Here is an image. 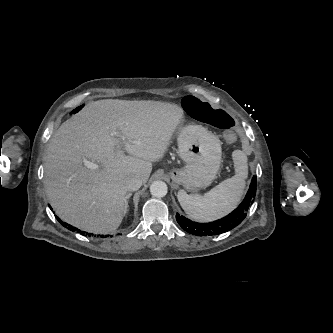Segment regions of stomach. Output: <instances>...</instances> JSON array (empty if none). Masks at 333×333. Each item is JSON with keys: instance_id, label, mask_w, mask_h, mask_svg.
Segmentation results:
<instances>
[{"instance_id": "1", "label": "stomach", "mask_w": 333, "mask_h": 333, "mask_svg": "<svg viewBox=\"0 0 333 333\" xmlns=\"http://www.w3.org/2000/svg\"><path fill=\"white\" fill-rule=\"evenodd\" d=\"M177 140L179 156L186 165L170 171L173 182L189 191L209 186L221 165L218 137L200 125H187L180 128Z\"/></svg>"}]
</instances>
